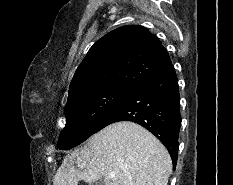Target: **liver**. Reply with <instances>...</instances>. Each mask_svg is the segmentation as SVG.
<instances>
[{
    "mask_svg": "<svg viewBox=\"0 0 233 185\" xmlns=\"http://www.w3.org/2000/svg\"><path fill=\"white\" fill-rule=\"evenodd\" d=\"M171 171L164 145L145 128L124 121L103 128L68 154L53 185L91 184L102 178L105 185H167Z\"/></svg>",
    "mask_w": 233,
    "mask_h": 185,
    "instance_id": "obj_1",
    "label": "liver"
}]
</instances>
